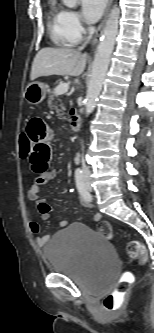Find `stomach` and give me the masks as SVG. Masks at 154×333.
Wrapping results in <instances>:
<instances>
[{
  "instance_id": "1",
  "label": "stomach",
  "mask_w": 154,
  "mask_h": 333,
  "mask_svg": "<svg viewBox=\"0 0 154 333\" xmlns=\"http://www.w3.org/2000/svg\"><path fill=\"white\" fill-rule=\"evenodd\" d=\"M46 85L41 82H32L25 89L24 97L31 105L40 104L46 96Z\"/></svg>"
}]
</instances>
